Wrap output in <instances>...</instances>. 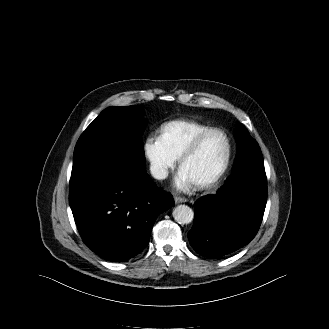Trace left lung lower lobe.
Listing matches in <instances>:
<instances>
[{"label": "left lung lower lobe", "instance_id": "obj_1", "mask_svg": "<svg viewBox=\"0 0 329 329\" xmlns=\"http://www.w3.org/2000/svg\"><path fill=\"white\" fill-rule=\"evenodd\" d=\"M267 201L264 168L247 169L236 160L233 173L216 195L199 198L188 239L202 256L218 258L247 245L262 222Z\"/></svg>", "mask_w": 329, "mask_h": 329}]
</instances>
